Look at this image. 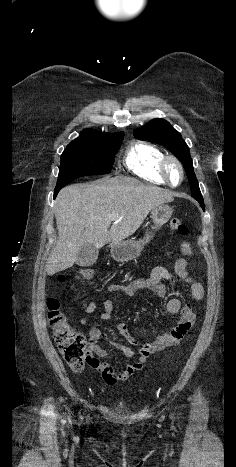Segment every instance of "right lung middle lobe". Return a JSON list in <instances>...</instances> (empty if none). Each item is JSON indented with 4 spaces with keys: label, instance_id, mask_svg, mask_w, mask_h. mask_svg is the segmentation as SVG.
<instances>
[{
    "label": "right lung middle lobe",
    "instance_id": "dd1d6c3e",
    "mask_svg": "<svg viewBox=\"0 0 236 467\" xmlns=\"http://www.w3.org/2000/svg\"><path fill=\"white\" fill-rule=\"evenodd\" d=\"M123 134L80 135L61 155L56 187H64L80 176L101 175L111 171L114 156L121 146Z\"/></svg>",
    "mask_w": 236,
    "mask_h": 467
}]
</instances>
